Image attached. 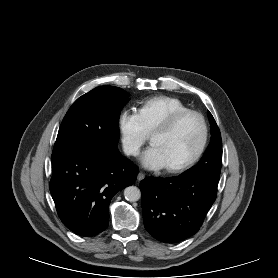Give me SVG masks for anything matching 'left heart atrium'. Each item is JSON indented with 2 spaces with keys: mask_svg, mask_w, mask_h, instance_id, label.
<instances>
[{
  "mask_svg": "<svg viewBox=\"0 0 278 278\" xmlns=\"http://www.w3.org/2000/svg\"><path fill=\"white\" fill-rule=\"evenodd\" d=\"M141 161L146 168L151 170H158L166 167L160 150L154 144L143 152Z\"/></svg>",
  "mask_w": 278,
  "mask_h": 278,
  "instance_id": "left-heart-atrium-1",
  "label": "left heart atrium"
}]
</instances>
